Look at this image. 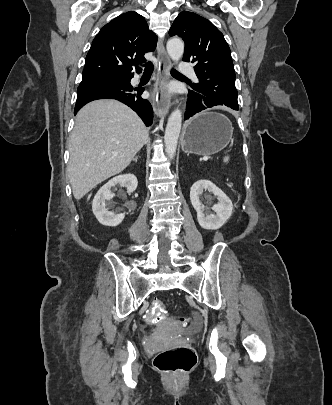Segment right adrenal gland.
<instances>
[{"instance_id": "obj_1", "label": "right adrenal gland", "mask_w": 332, "mask_h": 405, "mask_svg": "<svg viewBox=\"0 0 332 405\" xmlns=\"http://www.w3.org/2000/svg\"><path fill=\"white\" fill-rule=\"evenodd\" d=\"M137 160H138V156H136L135 158H133V161H134V162H137Z\"/></svg>"}]
</instances>
